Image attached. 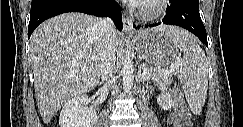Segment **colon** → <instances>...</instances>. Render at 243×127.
Instances as JSON below:
<instances>
[{"mask_svg":"<svg viewBox=\"0 0 243 127\" xmlns=\"http://www.w3.org/2000/svg\"><path fill=\"white\" fill-rule=\"evenodd\" d=\"M170 123L173 127L191 126V112L178 95L175 96V107L170 116Z\"/></svg>","mask_w":243,"mask_h":127,"instance_id":"5ec220e1","label":"colon"}]
</instances>
